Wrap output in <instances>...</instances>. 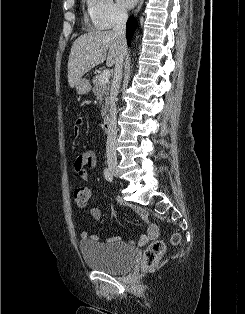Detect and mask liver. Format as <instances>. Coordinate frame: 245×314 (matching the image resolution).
<instances>
[{
  "instance_id": "liver-1",
  "label": "liver",
  "mask_w": 245,
  "mask_h": 314,
  "mask_svg": "<svg viewBox=\"0 0 245 314\" xmlns=\"http://www.w3.org/2000/svg\"><path fill=\"white\" fill-rule=\"evenodd\" d=\"M119 52L120 44L113 31H92L78 37L68 60L70 87H74L85 73L105 60L108 66L114 65Z\"/></svg>"
}]
</instances>
